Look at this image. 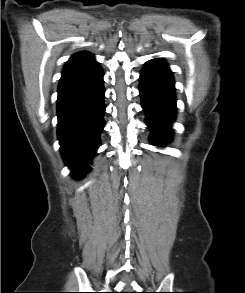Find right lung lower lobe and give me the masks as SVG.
Masks as SVG:
<instances>
[{"instance_id":"right-lung-lower-lobe-1","label":"right lung lower lobe","mask_w":245,"mask_h":293,"mask_svg":"<svg viewBox=\"0 0 245 293\" xmlns=\"http://www.w3.org/2000/svg\"><path fill=\"white\" fill-rule=\"evenodd\" d=\"M103 70L92 72L58 88L57 135L60 151L74 177L81 178L100 146L105 112Z\"/></svg>"}]
</instances>
